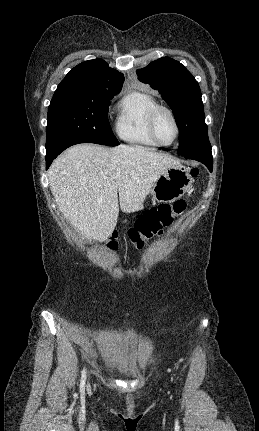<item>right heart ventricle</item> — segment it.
Listing matches in <instances>:
<instances>
[{
    "label": "right heart ventricle",
    "mask_w": 259,
    "mask_h": 431,
    "mask_svg": "<svg viewBox=\"0 0 259 431\" xmlns=\"http://www.w3.org/2000/svg\"><path fill=\"white\" fill-rule=\"evenodd\" d=\"M157 104L154 96L146 92L132 91L125 94L117 105L115 130L125 142L142 147L158 145L151 138L147 117Z\"/></svg>",
    "instance_id": "1"
}]
</instances>
